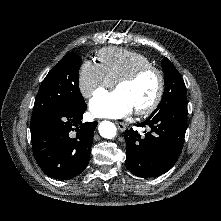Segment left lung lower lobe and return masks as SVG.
Segmentation results:
<instances>
[{"mask_svg": "<svg viewBox=\"0 0 221 221\" xmlns=\"http://www.w3.org/2000/svg\"><path fill=\"white\" fill-rule=\"evenodd\" d=\"M187 105L150 116L136 126H149L150 132L140 136L132 128L124 132L126 167L139 177H155L167 172L177 161L184 143Z\"/></svg>", "mask_w": 221, "mask_h": 221, "instance_id": "obj_1", "label": "left lung lower lobe"}]
</instances>
